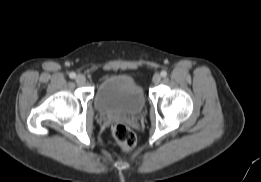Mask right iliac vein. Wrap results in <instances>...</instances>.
<instances>
[{
    "label": "right iliac vein",
    "instance_id": "obj_1",
    "mask_svg": "<svg viewBox=\"0 0 261 182\" xmlns=\"http://www.w3.org/2000/svg\"><path fill=\"white\" fill-rule=\"evenodd\" d=\"M76 82L78 84H84L86 82V77L82 74L77 75Z\"/></svg>",
    "mask_w": 261,
    "mask_h": 182
}]
</instances>
